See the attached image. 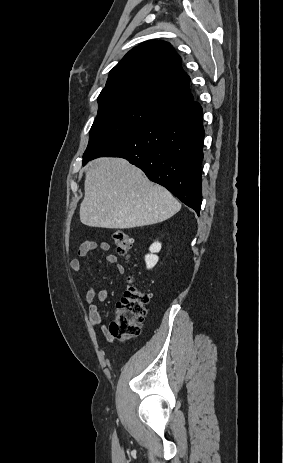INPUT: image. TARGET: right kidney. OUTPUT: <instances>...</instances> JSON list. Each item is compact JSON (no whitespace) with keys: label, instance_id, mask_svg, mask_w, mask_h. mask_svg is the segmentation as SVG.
<instances>
[{"label":"right kidney","instance_id":"right-kidney-1","mask_svg":"<svg viewBox=\"0 0 283 463\" xmlns=\"http://www.w3.org/2000/svg\"><path fill=\"white\" fill-rule=\"evenodd\" d=\"M160 250H161V243L159 242H154L150 246L149 248L150 254H147L145 256V262H146L147 269H152L157 264L159 257L155 253H158Z\"/></svg>","mask_w":283,"mask_h":463}]
</instances>
